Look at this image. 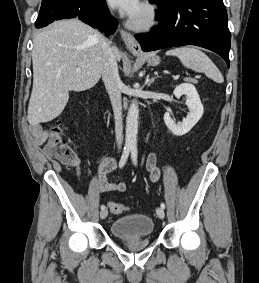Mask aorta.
I'll return each instance as SVG.
<instances>
[{"label": "aorta", "mask_w": 259, "mask_h": 283, "mask_svg": "<svg viewBox=\"0 0 259 283\" xmlns=\"http://www.w3.org/2000/svg\"><path fill=\"white\" fill-rule=\"evenodd\" d=\"M139 107L137 101H133L126 117V144L136 146L138 133Z\"/></svg>", "instance_id": "obj_1"}]
</instances>
